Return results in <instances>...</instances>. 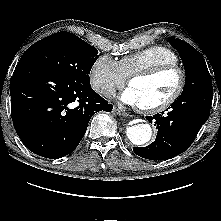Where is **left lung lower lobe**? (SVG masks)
<instances>
[{
  "instance_id": "obj_1",
  "label": "left lung lower lobe",
  "mask_w": 221,
  "mask_h": 221,
  "mask_svg": "<svg viewBox=\"0 0 221 221\" xmlns=\"http://www.w3.org/2000/svg\"><path fill=\"white\" fill-rule=\"evenodd\" d=\"M212 99L213 87L207 86L179 97L167 114L148 116L158 129L157 137L150 145L134 147L133 151L150 160H167L183 153L207 121Z\"/></svg>"
}]
</instances>
